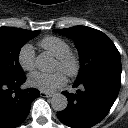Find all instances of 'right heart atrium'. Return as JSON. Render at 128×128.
<instances>
[{"mask_svg":"<svg viewBox=\"0 0 128 128\" xmlns=\"http://www.w3.org/2000/svg\"><path fill=\"white\" fill-rule=\"evenodd\" d=\"M18 61L24 70L32 71L36 66L35 50L31 44H25L18 53Z\"/></svg>","mask_w":128,"mask_h":128,"instance_id":"right-heart-atrium-1","label":"right heart atrium"}]
</instances>
